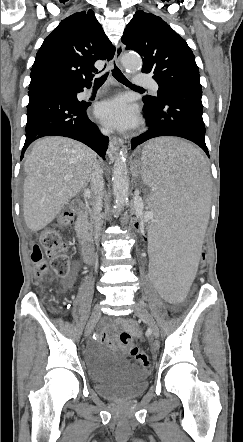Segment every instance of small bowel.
Here are the masks:
<instances>
[{
  "mask_svg": "<svg viewBox=\"0 0 243 442\" xmlns=\"http://www.w3.org/2000/svg\"><path fill=\"white\" fill-rule=\"evenodd\" d=\"M73 285V276L68 277L63 282V286L66 289H71ZM122 329L129 331L134 337L137 338L141 335L140 330L133 321L118 318L113 324H111L109 320H105L102 323L99 341L107 345L109 348H116L118 346L117 335L115 333H112L111 331L117 332Z\"/></svg>",
  "mask_w": 243,
  "mask_h": 442,
  "instance_id": "small-bowel-1",
  "label": "small bowel"
}]
</instances>
